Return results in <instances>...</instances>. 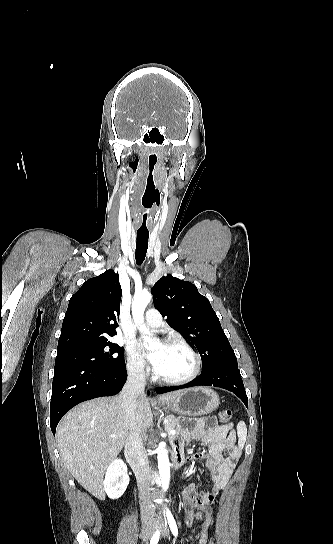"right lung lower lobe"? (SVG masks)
<instances>
[{
    "label": "right lung lower lobe",
    "mask_w": 333,
    "mask_h": 544,
    "mask_svg": "<svg viewBox=\"0 0 333 544\" xmlns=\"http://www.w3.org/2000/svg\"><path fill=\"white\" fill-rule=\"evenodd\" d=\"M126 379V367L108 370L78 360L56 359L50 403L53 434L60 419L72 407L93 398L116 395Z\"/></svg>",
    "instance_id": "1"
}]
</instances>
